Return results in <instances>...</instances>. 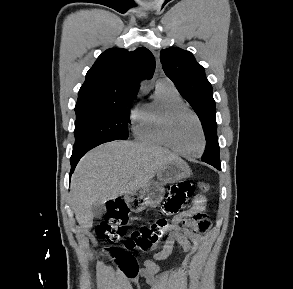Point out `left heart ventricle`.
I'll return each mask as SVG.
<instances>
[{
	"label": "left heart ventricle",
	"mask_w": 293,
	"mask_h": 289,
	"mask_svg": "<svg viewBox=\"0 0 293 289\" xmlns=\"http://www.w3.org/2000/svg\"><path fill=\"white\" fill-rule=\"evenodd\" d=\"M172 137L176 146L185 153L196 154L201 147V136L194 118L187 112L180 113L173 121Z\"/></svg>",
	"instance_id": "left-heart-ventricle-1"
}]
</instances>
